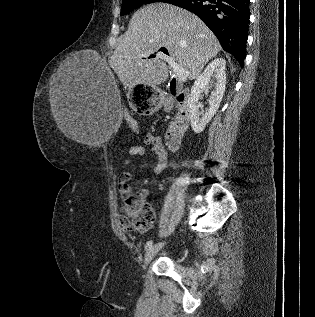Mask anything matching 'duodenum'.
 <instances>
[{"instance_id":"obj_1","label":"duodenum","mask_w":315,"mask_h":317,"mask_svg":"<svg viewBox=\"0 0 315 317\" xmlns=\"http://www.w3.org/2000/svg\"><path fill=\"white\" fill-rule=\"evenodd\" d=\"M169 96L177 105L175 120L166 133V142L170 150L178 149L184 133L190 124V114L187 106V95L180 89L179 81L173 78L169 85Z\"/></svg>"}]
</instances>
